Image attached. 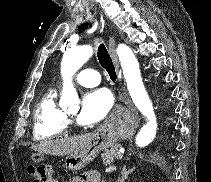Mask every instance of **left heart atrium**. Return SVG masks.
<instances>
[{"instance_id":"39dd6f15","label":"left heart atrium","mask_w":211,"mask_h":182,"mask_svg":"<svg viewBox=\"0 0 211 182\" xmlns=\"http://www.w3.org/2000/svg\"><path fill=\"white\" fill-rule=\"evenodd\" d=\"M113 98L107 89H96L87 92L82 101L78 121L83 125H93L101 121L110 111Z\"/></svg>"}]
</instances>
